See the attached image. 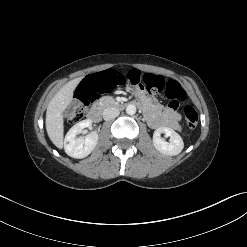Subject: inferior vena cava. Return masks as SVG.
<instances>
[{
  "mask_svg": "<svg viewBox=\"0 0 247 247\" xmlns=\"http://www.w3.org/2000/svg\"><path fill=\"white\" fill-rule=\"evenodd\" d=\"M119 115V110L115 107H107L103 111V118L106 121L112 120Z\"/></svg>",
  "mask_w": 247,
  "mask_h": 247,
  "instance_id": "602c4592",
  "label": "inferior vena cava"
}]
</instances>
